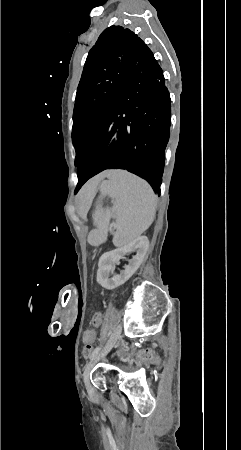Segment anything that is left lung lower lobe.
Returning a JSON list of instances; mask_svg holds the SVG:
<instances>
[{
	"instance_id": "obj_1",
	"label": "left lung lower lobe",
	"mask_w": 241,
	"mask_h": 450,
	"mask_svg": "<svg viewBox=\"0 0 241 450\" xmlns=\"http://www.w3.org/2000/svg\"><path fill=\"white\" fill-rule=\"evenodd\" d=\"M123 78L117 103L88 138L78 166L77 192L106 169H127L159 192L170 129V96L163 71L141 43Z\"/></svg>"
}]
</instances>
